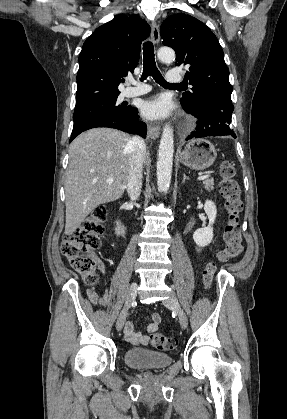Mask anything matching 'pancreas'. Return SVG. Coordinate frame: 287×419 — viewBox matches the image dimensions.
Masks as SVG:
<instances>
[{"mask_svg": "<svg viewBox=\"0 0 287 419\" xmlns=\"http://www.w3.org/2000/svg\"><path fill=\"white\" fill-rule=\"evenodd\" d=\"M204 188L208 191L213 190L214 180L213 179H207L203 181Z\"/></svg>", "mask_w": 287, "mask_h": 419, "instance_id": "1", "label": "pancreas"}]
</instances>
